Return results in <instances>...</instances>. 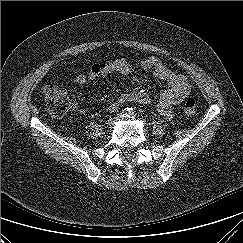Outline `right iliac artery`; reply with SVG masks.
<instances>
[{
    "mask_svg": "<svg viewBox=\"0 0 243 243\" xmlns=\"http://www.w3.org/2000/svg\"><path fill=\"white\" fill-rule=\"evenodd\" d=\"M128 114H129V109L125 108L124 110L121 111L120 117L125 118L128 116Z\"/></svg>",
    "mask_w": 243,
    "mask_h": 243,
    "instance_id": "obj_1",
    "label": "right iliac artery"
}]
</instances>
